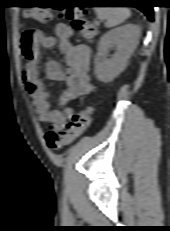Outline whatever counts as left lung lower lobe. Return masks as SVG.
<instances>
[{
  "mask_svg": "<svg viewBox=\"0 0 170 231\" xmlns=\"http://www.w3.org/2000/svg\"><path fill=\"white\" fill-rule=\"evenodd\" d=\"M129 3L135 4L133 7L141 10L150 21H153V7L150 0H131Z\"/></svg>",
  "mask_w": 170,
  "mask_h": 231,
  "instance_id": "0a47b994",
  "label": "left lung lower lobe"
}]
</instances>
